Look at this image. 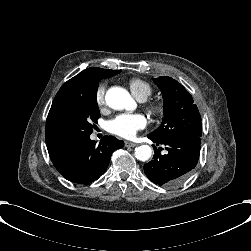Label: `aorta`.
<instances>
[{
    "instance_id": "762f6f07",
    "label": "aorta",
    "mask_w": 251,
    "mask_h": 251,
    "mask_svg": "<svg viewBox=\"0 0 251 251\" xmlns=\"http://www.w3.org/2000/svg\"><path fill=\"white\" fill-rule=\"evenodd\" d=\"M106 102L113 109L130 111L134 109L135 101L126 90L116 87L108 91ZM151 155L152 149L149 145H140L135 148V158L141 161H147Z\"/></svg>"
}]
</instances>
